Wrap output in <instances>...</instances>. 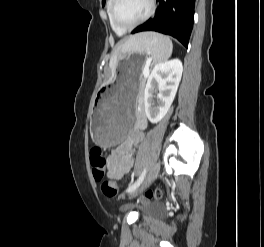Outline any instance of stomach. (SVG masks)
<instances>
[{
	"instance_id": "stomach-1",
	"label": "stomach",
	"mask_w": 264,
	"mask_h": 247,
	"mask_svg": "<svg viewBox=\"0 0 264 247\" xmlns=\"http://www.w3.org/2000/svg\"><path fill=\"white\" fill-rule=\"evenodd\" d=\"M144 61L143 53H130L129 57H124V62ZM141 68H144V63H118L114 67V82H110L109 86H100L91 118L92 138L96 144L117 147L120 141H127L129 131L133 128L134 113L137 112L133 103Z\"/></svg>"
}]
</instances>
